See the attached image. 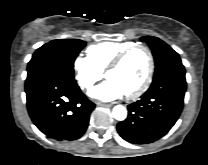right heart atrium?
<instances>
[{
    "label": "right heart atrium",
    "mask_w": 208,
    "mask_h": 165,
    "mask_svg": "<svg viewBox=\"0 0 208 165\" xmlns=\"http://www.w3.org/2000/svg\"><path fill=\"white\" fill-rule=\"evenodd\" d=\"M73 69L82 89H90L102 77V71L88 57L77 56L73 61Z\"/></svg>",
    "instance_id": "d8ad5b80"
}]
</instances>
